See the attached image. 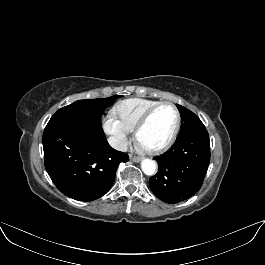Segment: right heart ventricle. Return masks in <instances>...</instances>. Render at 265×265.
Wrapping results in <instances>:
<instances>
[{
    "mask_svg": "<svg viewBox=\"0 0 265 265\" xmlns=\"http://www.w3.org/2000/svg\"><path fill=\"white\" fill-rule=\"evenodd\" d=\"M160 103L158 100L147 98H129L118 102L112 109L113 114L131 131L135 129L141 117L153 106Z\"/></svg>",
    "mask_w": 265,
    "mask_h": 265,
    "instance_id": "1",
    "label": "right heart ventricle"
}]
</instances>
